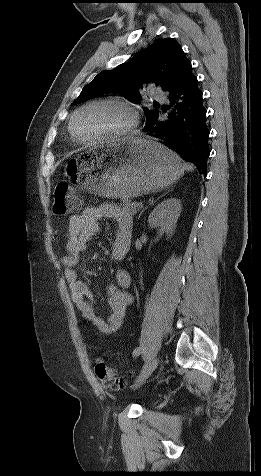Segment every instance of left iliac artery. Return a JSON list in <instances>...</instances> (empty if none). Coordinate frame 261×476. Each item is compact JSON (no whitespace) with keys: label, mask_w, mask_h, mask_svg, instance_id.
Here are the masks:
<instances>
[{"label":"left iliac artery","mask_w":261,"mask_h":476,"mask_svg":"<svg viewBox=\"0 0 261 476\" xmlns=\"http://www.w3.org/2000/svg\"><path fill=\"white\" fill-rule=\"evenodd\" d=\"M141 353H142V348H141V347H137V348L133 351V355H134V356H139Z\"/></svg>","instance_id":"left-iliac-artery-1"}]
</instances>
